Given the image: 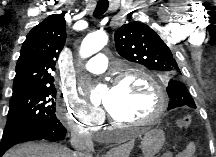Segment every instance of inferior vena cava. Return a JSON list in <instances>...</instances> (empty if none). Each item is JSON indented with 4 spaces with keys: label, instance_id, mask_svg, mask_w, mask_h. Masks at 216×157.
I'll return each instance as SVG.
<instances>
[{
    "label": "inferior vena cava",
    "instance_id": "602c4592",
    "mask_svg": "<svg viewBox=\"0 0 216 157\" xmlns=\"http://www.w3.org/2000/svg\"><path fill=\"white\" fill-rule=\"evenodd\" d=\"M71 145L75 149L74 157H91L93 142L89 134L80 130H73L71 132Z\"/></svg>",
    "mask_w": 216,
    "mask_h": 157
}]
</instances>
